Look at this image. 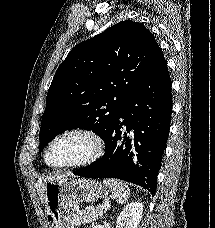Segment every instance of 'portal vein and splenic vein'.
Masks as SVG:
<instances>
[{"label":"portal vein and splenic vein","mask_w":215,"mask_h":228,"mask_svg":"<svg viewBox=\"0 0 215 228\" xmlns=\"http://www.w3.org/2000/svg\"><path fill=\"white\" fill-rule=\"evenodd\" d=\"M100 208H102V210H109L110 204H108V202H105V204H103V206H100Z\"/></svg>","instance_id":"18ae733b"}]
</instances>
